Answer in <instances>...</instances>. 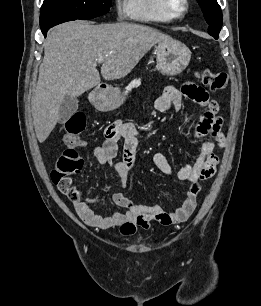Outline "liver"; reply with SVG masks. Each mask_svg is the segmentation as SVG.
Here are the masks:
<instances>
[{
  "label": "liver",
  "instance_id": "obj_1",
  "mask_svg": "<svg viewBox=\"0 0 261 306\" xmlns=\"http://www.w3.org/2000/svg\"><path fill=\"white\" fill-rule=\"evenodd\" d=\"M172 38L133 23L91 25L71 21L56 26L44 43V59L31 108L37 139L43 143L55 128L63 98L77 97L100 83L97 59L104 58L105 80L127 76L157 43Z\"/></svg>",
  "mask_w": 261,
  "mask_h": 306
}]
</instances>
